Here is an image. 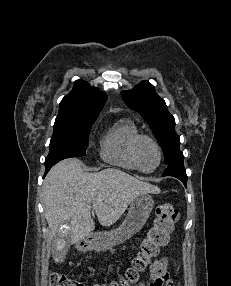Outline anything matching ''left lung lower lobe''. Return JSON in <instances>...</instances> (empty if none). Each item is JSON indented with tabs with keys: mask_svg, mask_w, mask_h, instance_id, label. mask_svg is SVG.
I'll use <instances>...</instances> for the list:
<instances>
[{
	"mask_svg": "<svg viewBox=\"0 0 231 286\" xmlns=\"http://www.w3.org/2000/svg\"><path fill=\"white\" fill-rule=\"evenodd\" d=\"M183 154L173 160L170 164L167 165V169L163 173V176H173L178 178L183 182V184L186 186L187 185V175L186 171L183 166Z\"/></svg>",
	"mask_w": 231,
	"mask_h": 286,
	"instance_id": "obj_1",
	"label": "left lung lower lobe"
}]
</instances>
